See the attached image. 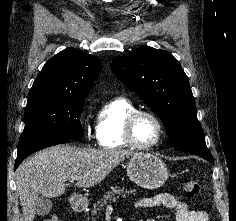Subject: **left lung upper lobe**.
<instances>
[{
	"instance_id": "1",
	"label": "left lung upper lobe",
	"mask_w": 236,
	"mask_h": 221,
	"mask_svg": "<svg viewBox=\"0 0 236 221\" xmlns=\"http://www.w3.org/2000/svg\"><path fill=\"white\" fill-rule=\"evenodd\" d=\"M111 69L160 117L175 149L208 150L189 79L170 52L143 45L115 59Z\"/></svg>"
}]
</instances>
